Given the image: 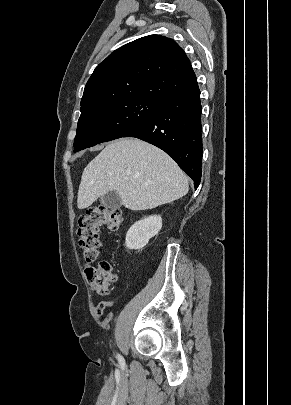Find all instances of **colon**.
Returning <instances> with one entry per match:
<instances>
[{
    "label": "colon",
    "mask_w": 291,
    "mask_h": 405,
    "mask_svg": "<svg viewBox=\"0 0 291 405\" xmlns=\"http://www.w3.org/2000/svg\"><path fill=\"white\" fill-rule=\"evenodd\" d=\"M121 223V211L105 207L87 210L78 221V244L86 264L85 274L91 289L99 295H107L117 278L109 262L100 261L94 266L100 255V231L102 228L116 231Z\"/></svg>",
    "instance_id": "colon-1"
}]
</instances>
